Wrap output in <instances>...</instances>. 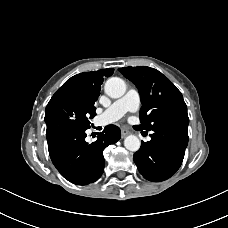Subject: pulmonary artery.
Segmentation results:
<instances>
[{"instance_id": "obj_1", "label": "pulmonary artery", "mask_w": 228, "mask_h": 228, "mask_svg": "<svg viewBox=\"0 0 228 228\" xmlns=\"http://www.w3.org/2000/svg\"><path fill=\"white\" fill-rule=\"evenodd\" d=\"M140 106V95L136 89H129L120 99L112 103L100 116L97 117L96 123L104 126L119 120L127 112H135Z\"/></svg>"}]
</instances>
